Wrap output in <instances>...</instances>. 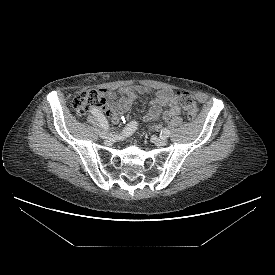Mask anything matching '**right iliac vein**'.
<instances>
[{
    "instance_id": "obj_1",
    "label": "right iliac vein",
    "mask_w": 275,
    "mask_h": 275,
    "mask_svg": "<svg viewBox=\"0 0 275 275\" xmlns=\"http://www.w3.org/2000/svg\"><path fill=\"white\" fill-rule=\"evenodd\" d=\"M100 137L102 139H111L113 137V134L110 133V132L101 131L100 132Z\"/></svg>"
}]
</instances>
